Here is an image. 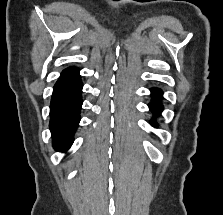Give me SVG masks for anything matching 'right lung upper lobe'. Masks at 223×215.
Returning a JSON list of instances; mask_svg holds the SVG:
<instances>
[{
    "label": "right lung upper lobe",
    "instance_id": "obj_1",
    "mask_svg": "<svg viewBox=\"0 0 223 215\" xmlns=\"http://www.w3.org/2000/svg\"><path fill=\"white\" fill-rule=\"evenodd\" d=\"M77 71H78V69H77L76 67H69V68L65 69V70L62 72L61 77H62V76H66V75L73 74V73H75V72H77Z\"/></svg>",
    "mask_w": 223,
    "mask_h": 215
}]
</instances>
